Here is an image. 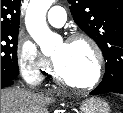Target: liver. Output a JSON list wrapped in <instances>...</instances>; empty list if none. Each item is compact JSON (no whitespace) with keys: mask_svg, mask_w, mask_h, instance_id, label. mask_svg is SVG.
<instances>
[{"mask_svg":"<svg viewBox=\"0 0 123 113\" xmlns=\"http://www.w3.org/2000/svg\"><path fill=\"white\" fill-rule=\"evenodd\" d=\"M53 101L48 95L20 88L1 89V113H48Z\"/></svg>","mask_w":123,"mask_h":113,"instance_id":"liver-1","label":"liver"}]
</instances>
